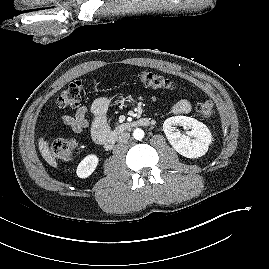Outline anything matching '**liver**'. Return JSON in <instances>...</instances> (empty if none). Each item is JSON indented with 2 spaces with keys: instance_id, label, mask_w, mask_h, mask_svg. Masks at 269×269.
Here are the masks:
<instances>
[{
  "instance_id": "1",
  "label": "liver",
  "mask_w": 269,
  "mask_h": 269,
  "mask_svg": "<svg viewBox=\"0 0 269 269\" xmlns=\"http://www.w3.org/2000/svg\"><path fill=\"white\" fill-rule=\"evenodd\" d=\"M39 150L44 160L52 167H57V162L49 150L47 142L43 139H39Z\"/></svg>"
}]
</instances>
